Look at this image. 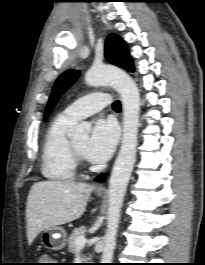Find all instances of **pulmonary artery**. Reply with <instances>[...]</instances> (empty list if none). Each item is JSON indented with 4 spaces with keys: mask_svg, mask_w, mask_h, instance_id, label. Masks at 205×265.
I'll use <instances>...</instances> for the list:
<instances>
[{
    "mask_svg": "<svg viewBox=\"0 0 205 265\" xmlns=\"http://www.w3.org/2000/svg\"><path fill=\"white\" fill-rule=\"evenodd\" d=\"M109 104L110 96L107 93H91L69 105L64 110L63 115L68 119L77 122L101 111Z\"/></svg>",
    "mask_w": 205,
    "mask_h": 265,
    "instance_id": "e3ab8cb5",
    "label": "pulmonary artery"
}]
</instances>
